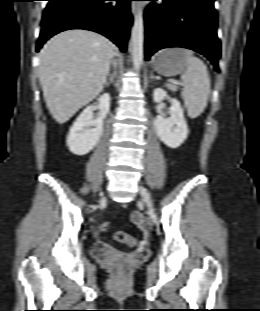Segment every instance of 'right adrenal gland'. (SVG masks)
<instances>
[{
    "label": "right adrenal gland",
    "instance_id": "obj_1",
    "mask_svg": "<svg viewBox=\"0 0 260 311\" xmlns=\"http://www.w3.org/2000/svg\"><path fill=\"white\" fill-rule=\"evenodd\" d=\"M115 77H116V72L110 74L109 79L105 82L104 86L109 87L114 82Z\"/></svg>",
    "mask_w": 260,
    "mask_h": 311
}]
</instances>
